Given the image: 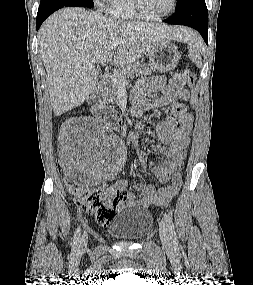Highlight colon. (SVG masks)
Segmentation results:
<instances>
[{
  "label": "colon",
  "mask_w": 253,
  "mask_h": 285,
  "mask_svg": "<svg viewBox=\"0 0 253 285\" xmlns=\"http://www.w3.org/2000/svg\"><path fill=\"white\" fill-rule=\"evenodd\" d=\"M183 77L189 88L193 89L196 82L194 73L189 70H183ZM67 144L63 143L58 154V172H65V154ZM61 180H67L69 193L74 203L84 212L93 214L96 220L101 224L109 223L115 216L116 208L127 199L128 193L125 189L110 187L107 189H91L79 186L73 183L70 175H61Z\"/></svg>",
  "instance_id": "colon-1"
}]
</instances>
